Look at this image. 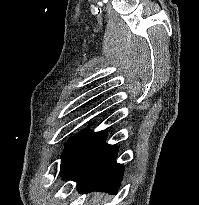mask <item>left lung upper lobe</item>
Wrapping results in <instances>:
<instances>
[{
    "label": "left lung upper lobe",
    "mask_w": 199,
    "mask_h": 205,
    "mask_svg": "<svg viewBox=\"0 0 199 205\" xmlns=\"http://www.w3.org/2000/svg\"><path fill=\"white\" fill-rule=\"evenodd\" d=\"M92 132L83 131L69 139L65 145L64 152L61 155L60 174L63 177L71 170L75 160L77 159L82 147Z\"/></svg>",
    "instance_id": "1"
}]
</instances>
